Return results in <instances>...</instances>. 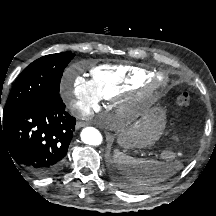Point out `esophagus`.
<instances>
[{
  "instance_id": "1",
  "label": "esophagus",
  "mask_w": 216,
  "mask_h": 216,
  "mask_svg": "<svg viewBox=\"0 0 216 216\" xmlns=\"http://www.w3.org/2000/svg\"><path fill=\"white\" fill-rule=\"evenodd\" d=\"M86 125H87L86 122L79 121V122L76 123L75 128L80 129L81 127H85Z\"/></svg>"
}]
</instances>
